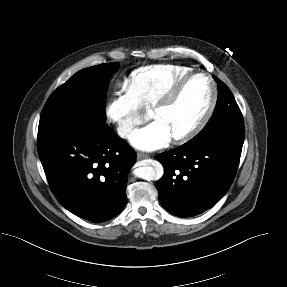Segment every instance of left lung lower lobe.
Instances as JSON below:
<instances>
[{"instance_id": "obj_1", "label": "left lung lower lobe", "mask_w": 287, "mask_h": 287, "mask_svg": "<svg viewBox=\"0 0 287 287\" xmlns=\"http://www.w3.org/2000/svg\"><path fill=\"white\" fill-rule=\"evenodd\" d=\"M242 149L187 142L157 155L164 175L157 182L160 204L179 217L196 216L213 207L231 186Z\"/></svg>"}]
</instances>
